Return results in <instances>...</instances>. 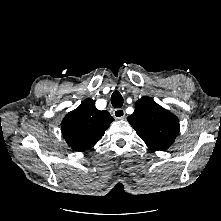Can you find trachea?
Here are the masks:
<instances>
[{
    "instance_id": "obj_1",
    "label": "trachea",
    "mask_w": 221,
    "mask_h": 221,
    "mask_svg": "<svg viewBox=\"0 0 221 221\" xmlns=\"http://www.w3.org/2000/svg\"><path fill=\"white\" fill-rule=\"evenodd\" d=\"M111 104L115 108H121L123 106V97L120 92L115 91L111 95Z\"/></svg>"
}]
</instances>
